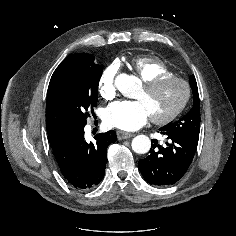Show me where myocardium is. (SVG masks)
<instances>
[{
  "label": "myocardium",
  "instance_id": "f54148a6",
  "mask_svg": "<svg viewBox=\"0 0 236 236\" xmlns=\"http://www.w3.org/2000/svg\"><path fill=\"white\" fill-rule=\"evenodd\" d=\"M170 82H178L184 87L183 99L172 111H170L166 115H164V116H151V120L155 124H159V125L167 124V123L173 121L176 117H178L181 114V112L185 109V107L190 99L191 88H190L189 83L185 79H183L179 76H175V75L160 76V77L152 79L148 82H145L143 84V89L146 92H151V91L158 89L162 85H164L166 83H170Z\"/></svg>",
  "mask_w": 236,
  "mask_h": 236
}]
</instances>
